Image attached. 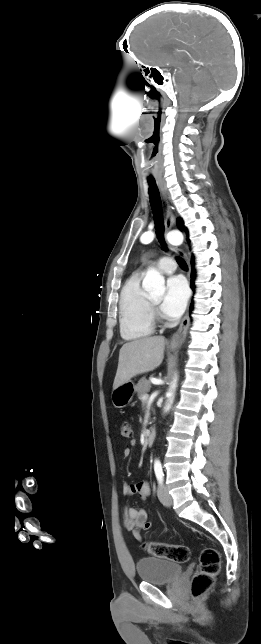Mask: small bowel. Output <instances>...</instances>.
Instances as JSON below:
<instances>
[{
	"mask_svg": "<svg viewBox=\"0 0 261 644\" xmlns=\"http://www.w3.org/2000/svg\"><path fill=\"white\" fill-rule=\"evenodd\" d=\"M135 445V441H132ZM131 454L130 448H125L123 451L124 458H128ZM122 491L124 495L138 494L142 499H145L150 493L149 483L146 480H140L134 483H123ZM123 523L124 527L132 532L133 537L141 541V531H148L152 528V523L148 519V514L143 508L139 507H126L123 510Z\"/></svg>",
	"mask_w": 261,
	"mask_h": 644,
	"instance_id": "1",
	"label": "small bowel"
}]
</instances>
